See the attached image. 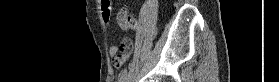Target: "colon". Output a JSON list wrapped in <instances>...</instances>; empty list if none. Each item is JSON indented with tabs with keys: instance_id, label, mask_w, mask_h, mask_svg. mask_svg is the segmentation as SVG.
<instances>
[{
	"instance_id": "1",
	"label": "colon",
	"mask_w": 279,
	"mask_h": 82,
	"mask_svg": "<svg viewBox=\"0 0 279 82\" xmlns=\"http://www.w3.org/2000/svg\"><path fill=\"white\" fill-rule=\"evenodd\" d=\"M117 23L122 28H134L136 25L134 19L130 16L126 8H123L118 12ZM129 51H131V48H129Z\"/></svg>"
}]
</instances>
